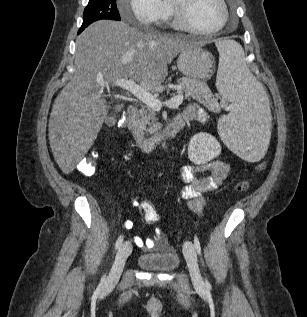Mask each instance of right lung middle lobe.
Wrapping results in <instances>:
<instances>
[{"mask_svg":"<svg viewBox=\"0 0 307 317\" xmlns=\"http://www.w3.org/2000/svg\"><path fill=\"white\" fill-rule=\"evenodd\" d=\"M101 19L120 21V15L116 6V0H89L83 13V30L92 22Z\"/></svg>","mask_w":307,"mask_h":317,"instance_id":"right-lung-middle-lobe-1","label":"right lung middle lobe"}]
</instances>
